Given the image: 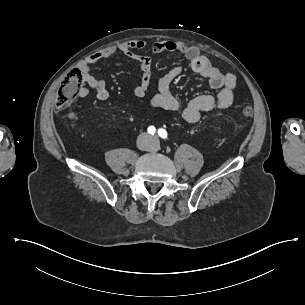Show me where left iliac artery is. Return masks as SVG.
Here are the masks:
<instances>
[{
    "label": "left iliac artery",
    "mask_w": 305,
    "mask_h": 305,
    "mask_svg": "<svg viewBox=\"0 0 305 305\" xmlns=\"http://www.w3.org/2000/svg\"><path fill=\"white\" fill-rule=\"evenodd\" d=\"M158 135H159L161 138H164V139L167 138V132H166V130H164V129H159V130H158Z\"/></svg>",
    "instance_id": "44dca946"
}]
</instances>
